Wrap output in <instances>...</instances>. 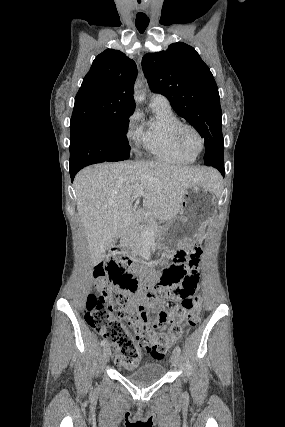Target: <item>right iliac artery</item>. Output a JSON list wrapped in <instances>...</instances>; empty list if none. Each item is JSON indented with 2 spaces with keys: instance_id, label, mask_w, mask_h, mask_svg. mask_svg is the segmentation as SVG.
<instances>
[{
  "instance_id": "obj_1",
  "label": "right iliac artery",
  "mask_w": 285,
  "mask_h": 427,
  "mask_svg": "<svg viewBox=\"0 0 285 427\" xmlns=\"http://www.w3.org/2000/svg\"><path fill=\"white\" fill-rule=\"evenodd\" d=\"M107 344V340L106 339H103L102 341H101V346H105Z\"/></svg>"
}]
</instances>
